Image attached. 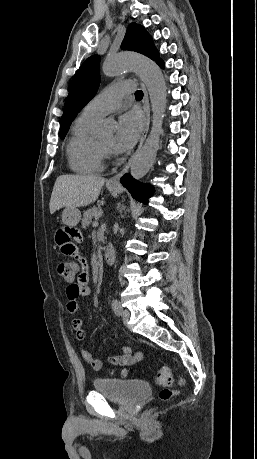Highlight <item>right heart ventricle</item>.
<instances>
[{"label":"right heart ventricle","mask_w":257,"mask_h":459,"mask_svg":"<svg viewBox=\"0 0 257 459\" xmlns=\"http://www.w3.org/2000/svg\"><path fill=\"white\" fill-rule=\"evenodd\" d=\"M98 118L82 113L75 121L66 152L68 163L78 174H98L104 169V155L92 129Z\"/></svg>","instance_id":"obj_1"}]
</instances>
